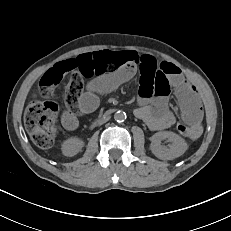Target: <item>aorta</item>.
Listing matches in <instances>:
<instances>
[{
	"instance_id": "obj_1",
	"label": "aorta",
	"mask_w": 231,
	"mask_h": 231,
	"mask_svg": "<svg viewBox=\"0 0 231 231\" xmlns=\"http://www.w3.org/2000/svg\"><path fill=\"white\" fill-rule=\"evenodd\" d=\"M114 119L117 122H123L126 119V113L124 111L119 110L114 114Z\"/></svg>"
}]
</instances>
